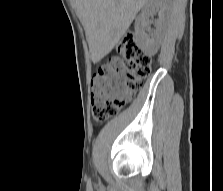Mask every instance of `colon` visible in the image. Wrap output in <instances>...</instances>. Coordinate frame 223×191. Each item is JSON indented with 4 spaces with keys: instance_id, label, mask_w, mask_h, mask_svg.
Here are the masks:
<instances>
[{
    "instance_id": "1",
    "label": "colon",
    "mask_w": 223,
    "mask_h": 191,
    "mask_svg": "<svg viewBox=\"0 0 223 191\" xmlns=\"http://www.w3.org/2000/svg\"><path fill=\"white\" fill-rule=\"evenodd\" d=\"M118 50L123 58L112 57L92 80V116L98 122L115 115L150 74L152 59L132 35L123 37Z\"/></svg>"
}]
</instances>
